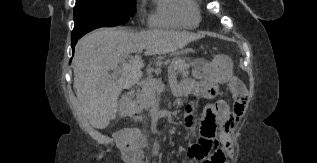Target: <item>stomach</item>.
Returning a JSON list of instances; mask_svg holds the SVG:
<instances>
[{"label":"stomach","instance_id":"stomach-1","mask_svg":"<svg viewBox=\"0 0 317 163\" xmlns=\"http://www.w3.org/2000/svg\"><path fill=\"white\" fill-rule=\"evenodd\" d=\"M233 62L225 55H214L210 61H203L195 67V75L209 76L217 82H226L232 75Z\"/></svg>","mask_w":317,"mask_h":163}]
</instances>
